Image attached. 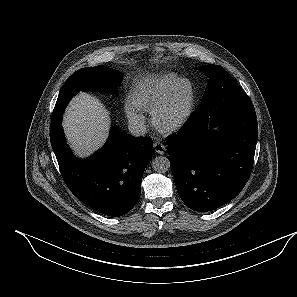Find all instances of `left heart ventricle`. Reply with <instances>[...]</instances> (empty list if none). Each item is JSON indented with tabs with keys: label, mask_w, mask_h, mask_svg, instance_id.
<instances>
[{
	"label": "left heart ventricle",
	"mask_w": 297,
	"mask_h": 297,
	"mask_svg": "<svg viewBox=\"0 0 297 297\" xmlns=\"http://www.w3.org/2000/svg\"><path fill=\"white\" fill-rule=\"evenodd\" d=\"M185 101V87L183 86L175 99L174 103L167 109L163 116L164 122H169L174 119L181 111Z\"/></svg>",
	"instance_id": "1"
}]
</instances>
